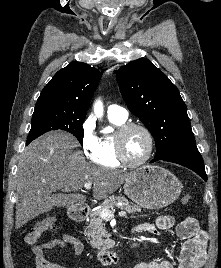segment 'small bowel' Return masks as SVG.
<instances>
[{
	"mask_svg": "<svg viewBox=\"0 0 221 268\" xmlns=\"http://www.w3.org/2000/svg\"><path fill=\"white\" fill-rule=\"evenodd\" d=\"M176 228L178 236L184 240L180 254L179 265L174 266L167 260H155L139 263L132 268H203L206 260L207 233L199 227L196 218L188 216L177 222L171 215L158 216L153 223H142L134 228V233L159 234L160 231ZM70 247L76 255L84 250V244L72 235H64L44 243L34 245L32 253L35 257V268H65L49 262L44 253L47 250Z\"/></svg>",
	"mask_w": 221,
	"mask_h": 268,
	"instance_id": "1",
	"label": "small bowel"
}]
</instances>
